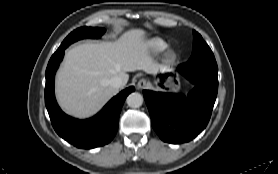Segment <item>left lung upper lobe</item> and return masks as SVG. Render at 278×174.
Masks as SVG:
<instances>
[{
	"instance_id": "obj_1",
	"label": "left lung upper lobe",
	"mask_w": 278,
	"mask_h": 174,
	"mask_svg": "<svg viewBox=\"0 0 278 174\" xmlns=\"http://www.w3.org/2000/svg\"><path fill=\"white\" fill-rule=\"evenodd\" d=\"M193 36V52L188 62H200L210 68L218 69L213 52L202 36L195 30H193Z\"/></svg>"
}]
</instances>
